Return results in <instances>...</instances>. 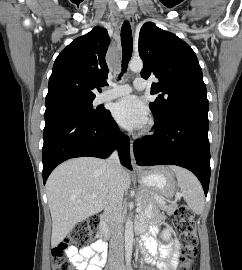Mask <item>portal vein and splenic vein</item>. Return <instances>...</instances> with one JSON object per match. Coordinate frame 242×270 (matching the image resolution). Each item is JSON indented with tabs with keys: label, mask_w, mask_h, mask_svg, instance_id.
<instances>
[{
	"label": "portal vein and splenic vein",
	"mask_w": 242,
	"mask_h": 270,
	"mask_svg": "<svg viewBox=\"0 0 242 270\" xmlns=\"http://www.w3.org/2000/svg\"><path fill=\"white\" fill-rule=\"evenodd\" d=\"M180 197H181V194L178 193V194H177V198L179 199ZM140 210H141V206L138 205V207L136 208V211L139 212Z\"/></svg>",
	"instance_id": "portal-vein-and-splenic-vein-1"
}]
</instances>
